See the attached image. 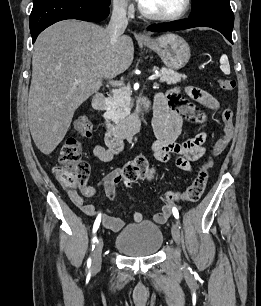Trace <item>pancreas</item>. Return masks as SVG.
<instances>
[{"label":"pancreas","instance_id":"obj_1","mask_svg":"<svg viewBox=\"0 0 261 306\" xmlns=\"http://www.w3.org/2000/svg\"><path fill=\"white\" fill-rule=\"evenodd\" d=\"M160 81L176 84L186 75L179 74L172 69L162 68L159 73ZM106 115L114 123H119L130 113V93L126 87L113 90L105 100Z\"/></svg>","mask_w":261,"mask_h":306}]
</instances>
